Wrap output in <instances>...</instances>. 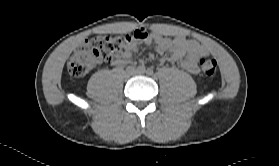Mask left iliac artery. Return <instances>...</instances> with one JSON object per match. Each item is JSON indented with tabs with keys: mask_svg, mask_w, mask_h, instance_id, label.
Returning a JSON list of instances; mask_svg holds the SVG:
<instances>
[{
	"mask_svg": "<svg viewBox=\"0 0 279 166\" xmlns=\"http://www.w3.org/2000/svg\"><path fill=\"white\" fill-rule=\"evenodd\" d=\"M146 73H147L148 75H152V74H153V69H152V68H148V69L146 70Z\"/></svg>",
	"mask_w": 279,
	"mask_h": 166,
	"instance_id": "left-iliac-artery-1",
	"label": "left iliac artery"
}]
</instances>
